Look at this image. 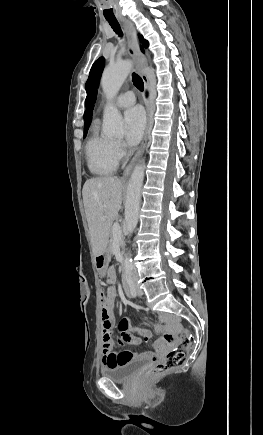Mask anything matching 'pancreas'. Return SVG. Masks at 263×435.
<instances>
[{
	"instance_id": "obj_1",
	"label": "pancreas",
	"mask_w": 263,
	"mask_h": 435,
	"mask_svg": "<svg viewBox=\"0 0 263 435\" xmlns=\"http://www.w3.org/2000/svg\"><path fill=\"white\" fill-rule=\"evenodd\" d=\"M114 237H113V231H111V239H110V243H109V250L111 251L112 248V244L114 242ZM119 242L121 243V239L119 240Z\"/></svg>"
}]
</instances>
